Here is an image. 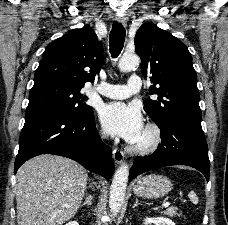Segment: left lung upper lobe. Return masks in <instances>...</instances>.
I'll return each mask as SVG.
<instances>
[{
  "label": "left lung upper lobe",
  "instance_id": "5c2ea615",
  "mask_svg": "<svg viewBox=\"0 0 228 225\" xmlns=\"http://www.w3.org/2000/svg\"><path fill=\"white\" fill-rule=\"evenodd\" d=\"M135 50L141 58V71L150 77V94L144 109L162 126L172 118L201 121L197 75L187 46L153 23L143 24L135 36Z\"/></svg>",
  "mask_w": 228,
  "mask_h": 225
}]
</instances>
